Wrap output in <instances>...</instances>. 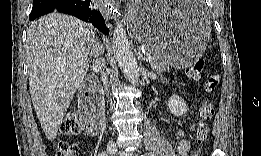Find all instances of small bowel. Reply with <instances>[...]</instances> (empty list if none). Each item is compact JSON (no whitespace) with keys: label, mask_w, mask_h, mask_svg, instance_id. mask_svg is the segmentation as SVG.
<instances>
[{"label":"small bowel","mask_w":261,"mask_h":156,"mask_svg":"<svg viewBox=\"0 0 261 156\" xmlns=\"http://www.w3.org/2000/svg\"><path fill=\"white\" fill-rule=\"evenodd\" d=\"M193 128L194 126L191 125L190 130H193ZM183 134H184L183 130L177 131L176 134L174 135V139L177 142L178 154L181 156H186L188 154L190 144L186 139L183 138Z\"/></svg>","instance_id":"obj_1"}]
</instances>
